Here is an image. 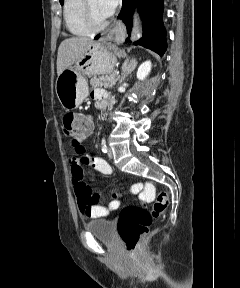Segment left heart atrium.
I'll return each mask as SVG.
<instances>
[{
	"label": "left heart atrium",
	"instance_id": "1",
	"mask_svg": "<svg viewBox=\"0 0 240 288\" xmlns=\"http://www.w3.org/2000/svg\"><path fill=\"white\" fill-rule=\"evenodd\" d=\"M119 0H98V7L101 13L108 18L116 9Z\"/></svg>",
	"mask_w": 240,
	"mask_h": 288
}]
</instances>
